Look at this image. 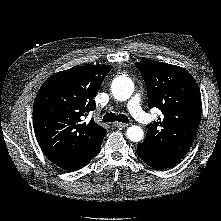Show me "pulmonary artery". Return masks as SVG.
Returning <instances> with one entry per match:
<instances>
[{"label":"pulmonary artery","instance_id":"pulmonary-artery-1","mask_svg":"<svg viewBox=\"0 0 221 221\" xmlns=\"http://www.w3.org/2000/svg\"><path fill=\"white\" fill-rule=\"evenodd\" d=\"M140 101V95L135 94L127 103V108L137 121L147 124L150 122V117L141 108Z\"/></svg>","mask_w":221,"mask_h":221}]
</instances>
